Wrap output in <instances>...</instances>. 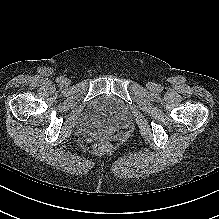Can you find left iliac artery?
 <instances>
[{"label":"left iliac artery","mask_w":219,"mask_h":219,"mask_svg":"<svg viewBox=\"0 0 219 219\" xmlns=\"http://www.w3.org/2000/svg\"><path fill=\"white\" fill-rule=\"evenodd\" d=\"M157 89H158L159 91H162V90H163V86L159 85Z\"/></svg>","instance_id":"left-iliac-artery-1"}]
</instances>
